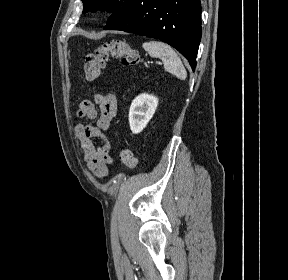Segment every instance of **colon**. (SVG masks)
Segmentation results:
<instances>
[{
  "mask_svg": "<svg viewBox=\"0 0 288 280\" xmlns=\"http://www.w3.org/2000/svg\"><path fill=\"white\" fill-rule=\"evenodd\" d=\"M111 58H117L125 66H134L140 62L136 49L121 39H112L103 42L94 52L87 55L84 63V79L94 81L98 79ZM121 162L130 169L137 166V159L129 149H123L119 154Z\"/></svg>",
  "mask_w": 288,
  "mask_h": 280,
  "instance_id": "colon-1",
  "label": "colon"
}]
</instances>
